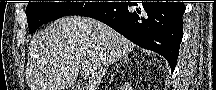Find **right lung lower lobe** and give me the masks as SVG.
<instances>
[{
    "mask_svg": "<svg viewBox=\"0 0 216 90\" xmlns=\"http://www.w3.org/2000/svg\"><path fill=\"white\" fill-rule=\"evenodd\" d=\"M183 2H111L79 16L95 18L168 61L174 71L183 36Z\"/></svg>",
    "mask_w": 216,
    "mask_h": 90,
    "instance_id": "1",
    "label": "right lung lower lobe"
}]
</instances>
